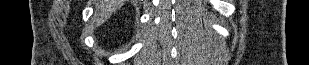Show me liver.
I'll list each match as a JSON object with an SVG mask.
<instances>
[{
	"label": "liver",
	"instance_id": "6515ba94",
	"mask_svg": "<svg viewBox=\"0 0 309 65\" xmlns=\"http://www.w3.org/2000/svg\"><path fill=\"white\" fill-rule=\"evenodd\" d=\"M123 2L124 0H100L95 3V26L98 27L107 21Z\"/></svg>",
	"mask_w": 309,
	"mask_h": 65
}]
</instances>
